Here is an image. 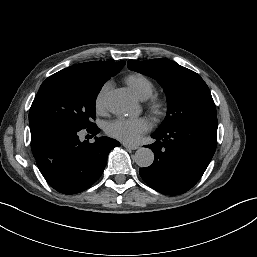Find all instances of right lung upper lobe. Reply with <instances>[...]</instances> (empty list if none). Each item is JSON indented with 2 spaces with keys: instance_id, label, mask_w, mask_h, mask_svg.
Returning <instances> with one entry per match:
<instances>
[{
  "instance_id": "right-lung-upper-lobe-1",
  "label": "right lung upper lobe",
  "mask_w": 257,
  "mask_h": 257,
  "mask_svg": "<svg viewBox=\"0 0 257 257\" xmlns=\"http://www.w3.org/2000/svg\"><path fill=\"white\" fill-rule=\"evenodd\" d=\"M125 65V62H86L76 64L70 68L80 71L97 80H109Z\"/></svg>"
}]
</instances>
